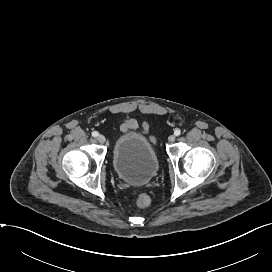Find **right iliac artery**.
<instances>
[{
    "mask_svg": "<svg viewBox=\"0 0 272 272\" xmlns=\"http://www.w3.org/2000/svg\"><path fill=\"white\" fill-rule=\"evenodd\" d=\"M92 136L93 137H97L98 136V132L97 131L92 132Z\"/></svg>",
    "mask_w": 272,
    "mask_h": 272,
    "instance_id": "right-iliac-artery-1",
    "label": "right iliac artery"
}]
</instances>
